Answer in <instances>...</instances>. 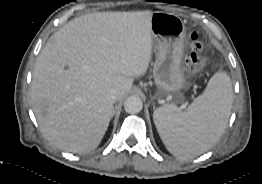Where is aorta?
Listing matches in <instances>:
<instances>
[{
	"instance_id": "obj_1",
	"label": "aorta",
	"mask_w": 262,
	"mask_h": 184,
	"mask_svg": "<svg viewBox=\"0 0 262 184\" xmlns=\"http://www.w3.org/2000/svg\"><path fill=\"white\" fill-rule=\"evenodd\" d=\"M143 108L142 100L137 96H130L124 102V109L126 112L134 114L138 113Z\"/></svg>"
}]
</instances>
